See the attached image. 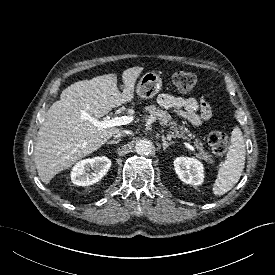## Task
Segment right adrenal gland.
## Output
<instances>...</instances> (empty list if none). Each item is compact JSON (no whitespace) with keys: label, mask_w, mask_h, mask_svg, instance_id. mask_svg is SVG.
Returning a JSON list of instances; mask_svg holds the SVG:
<instances>
[{"label":"right adrenal gland","mask_w":275,"mask_h":275,"mask_svg":"<svg viewBox=\"0 0 275 275\" xmlns=\"http://www.w3.org/2000/svg\"><path fill=\"white\" fill-rule=\"evenodd\" d=\"M121 141V139L119 138V139H117V140H112V141H109V142H107L106 144H118L119 142Z\"/></svg>","instance_id":"1"}]
</instances>
